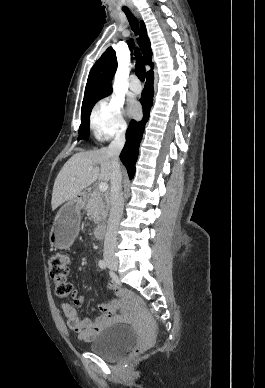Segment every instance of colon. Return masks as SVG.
<instances>
[{"mask_svg": "<svg viewBox=\"0 0 265 388\" xmlns=\"http://www.w3.org/2000/svg\"><path fill=\"white\" fill-rule=\"evenodd\" d=\"M69 257L62 253H55L49 258L48 273L54 283L55 294L61 299L72 297L73 287L67 280L69 271ZM141 348L134 350V355H138Z\"/></svg>", "mask_w": 265, "mask_h": 388, "instance_id": "obj_1", "label": "colon"}]
</instances>
